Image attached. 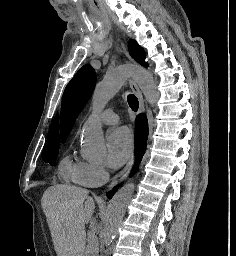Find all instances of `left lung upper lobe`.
Segmentation results:
<instances>
[{
  "label": "left lung upper lobe",
  "instance_id": "left-lung-upper-lobe-1",
  "mask_svg": "<svg viewBox=\"0 0 236 256\" xmlns=\"http://www.w3.org/2000/svg\"><path fill=\"white\" fill-rule=\"evenodd\" d=\"M129 53L139 64L147 66L144 50L134 40L128 43ZM96 83V73L84 65L65 88L61 104V140L65 142L75 120L90 99Z\"/></svg>",
  "mask_w": 236,
  "mask_h": 256
}]
</instances>
